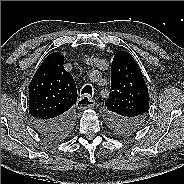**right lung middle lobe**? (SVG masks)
Masks as SVG:
<instances>
[{
  "mask_svg": "<svg viewBox=\"0 0 184 184\" xmlns=\"http://www.w3.org/2000/svg\"><path fill=\"white\" fill-rule=\"evenodd\" d=\"M72 127H73V124H71V126L69 128H67L65 131H62V132H60L56 135H53V136H49L47 138L52 139V140H60L64 137H66L70 133Z\"/></svg>",
  "mask_w": 184,
  "mask_h": 184,
  "instance_id": "right-lung-middle-lobe-1",
  "label": "right lung middle lobe"
}]
</instances>
